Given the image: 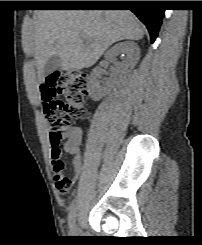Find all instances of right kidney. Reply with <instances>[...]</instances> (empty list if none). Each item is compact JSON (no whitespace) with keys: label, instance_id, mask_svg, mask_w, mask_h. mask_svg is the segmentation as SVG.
Returning <instances> with one entry per match:
<instances>
[{"label":"right kidney","instance_id":"ca27d5eb","mask_svg":"<svg viewBox=\"0 0 202 245\" xmlns=\"http://www.w3.org/2000/svg\"><path fill=\"white\" fill-rule=\"evenodd\" d=\"M119 55L122 61H117V56ZM105 59L114 64L115 77H121L136 66L140 59V49L134 42H119L106 52ZM102 74L103 69L101 66L95 67L90 74L87 84L89 95L95 101L102 99L108 93V87L101 86L99 82Z\"/></svg>","mask_w":202,"mask_h":245}]
</instances>
